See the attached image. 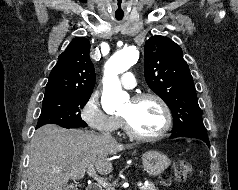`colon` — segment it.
I'll return each instance as SVG.
<instances>
[{
	"mask_svg": "<svg viewBox=\"0 0 238 190\" xmlns=\"http://www.w3.org/2000/svg\"><path fill=\"white\" fill-rule=\"evenodd\" d=\"M173 171L177 180L186 181L193 173V167L185 160H176L173 163Z\"/></svg>",
	"mask_w": 238,
	"mask_h": 190,
	"instance_id": "1",
	"label": "colon"
}]
</instances>
